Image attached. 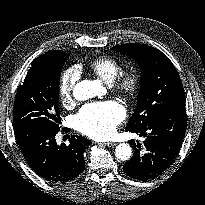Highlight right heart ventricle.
<instances>
[{
	"label": "right heart ventricle",
	"instance_id": "obj_1",
	"mask_svg": "<svg viewBox=\"0 0 205 205\" xmlns=\"http://www.w3.org/2000/svg\"><path fill=\"white\" fill-rule=\"evenodd\" d=\"M89 68L107 83H111L122 69L121 62L112 56H99L90 64Z\"/></svg>",
	"mask_w": 205,
	"mask_h": 205
}]
</instances>
